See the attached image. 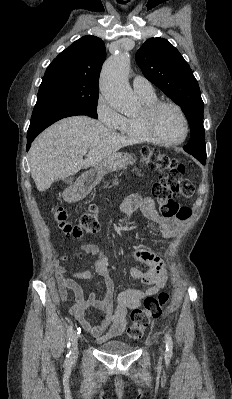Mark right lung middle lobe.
Here are the masks:
<instances>
[{
	"label": "right lung middle lobe",
	"mask_w": 232,
	"mask_h": 399,
	"mask_svg": "<svg viewBox=\"0 0 232 399\" xmlns=\"http://www.w3.org/2000/svg\"><path fill=\"white\" fill-rule=\"evenodd\" d=\"M99 87H88L62 79L42 80L38 97L77 105L97 117Z\"/></svg>",
	"instance_id": "dd1d6c3e"
}]
</instances>
